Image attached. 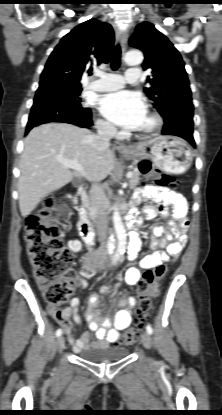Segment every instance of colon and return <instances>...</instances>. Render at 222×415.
Returning a JSON list of instances; mask_svg holds the SVG:
<instances>
[{"label": "colon", "instance_id": "obj_1", "mask_svg": "<svg viewBox=\"0 0 222 415\" xmlns=\"http://www.w3.org/2000/svg\"><path fill=\"white\" fill-rule=\"evenodd\" d=\"M141 170L154 184L171 187L177 185V180L173 176L160 173L148 164H143ZM54 206L55 197L48 195L44 198L42 207L26 218L25 242L34 278L40 286L43 298L51 306L59 307L68 300L74 290L70 273L73 256L70 250L64 247L60 229L51 218ZM165 271L164 266H158L142 274L137 284L138 320L136 325L123 335V345L129 346L138 338L143 323L150 315L153 300L158 293L157 285L164 277Z\"/></svg>", "mask_w": 222, "mask_h": 415}]
</instances>
